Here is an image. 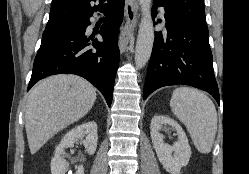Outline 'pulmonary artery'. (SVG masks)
Wrapping results in <instances>:
<instances>
[{
  "label": "pulmonary artery",
  "instance_id": "pulmonary-artery-1",
  "mask_svg": "<svg viewBox=\"0 0 249 174\" xmlns=\"http://www.w3.org/2000/svg\"><path fill=\"white\" fill-rule=\"evenodd\" d=\"M159 13H160L161 16H163V12L162 11H160Z\"/></svg>",
  "mask_w": 249,
  "mask_h": 174
}]
</instances>
